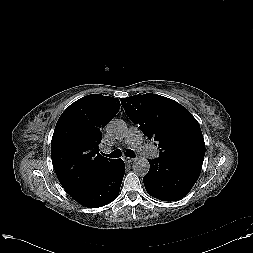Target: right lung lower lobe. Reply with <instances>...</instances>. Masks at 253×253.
Segmentation results:
<instances>
[{
    "label": "right lung lower lobe",
    "mask_w": 253,
    "mask_h": 253,
    "mask_svg": "<svg viewBox=\"0 0 253 253\" xmlns=\"http://www.w3.org/2000/svg\"><path fill=\"white\" fill-rule=\"evenodd\" d=\"M124 174L123 160L116 159L107 172L69 195L85 207H102L117 198Z\"/></svg>",
    "instance_id": "obj_1"
}]
</instances>
